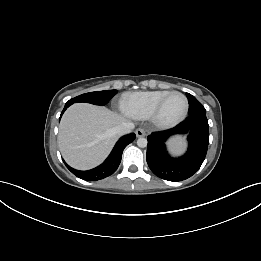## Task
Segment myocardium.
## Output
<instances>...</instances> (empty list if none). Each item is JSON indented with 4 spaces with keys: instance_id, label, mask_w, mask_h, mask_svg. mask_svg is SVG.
<instances>
[{
    "instance_id": "1",
    "label": "myocardium",
    "mask_w": 261,
    "mask_h": 261,
    "mask_svg": "<svg viewBox=\"0 0 261 261\" xmlns=\"http://www.w3.org/2000/svg\"><path fill=\"white\" fill-rule=\"evenodd\" d=\"M175 94L180 95L184 99V102H185L184 110L178 118H176L172 121H164L160 117L161 108H162L164 102L166 101V99L168 97H170L171 95H175ZM188 110H189V101H188V98L186 97V95L179 91H169L166 95H164L158 101V103L156 104V106L150 116V119L156 127L161 128V129H169V128H173V127L177 126L178 124H180L186 118V116L188 114Z\"/></svg>"
}]
</instances>
